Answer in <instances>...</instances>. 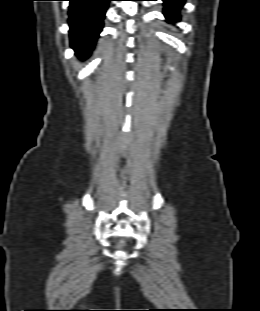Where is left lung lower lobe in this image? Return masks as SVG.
<instances>
[{
    "label": "left lung lower lobe",
    "instance_id": "obj_1",
    "mask_svg": "<svg viewBox=\"0 0 260 311\" xmlns=\"http://www.w3.org/2000/svg\"><path fill=\"white\" fill-rule=\"evenodd\" d=\"M164 1V15L168 22L178 21L180 16L179 10L184 5L185 0H163Z\"/></svg>",
    "mask_w": 260,
    "mask_h": 311
}]
</instances>
